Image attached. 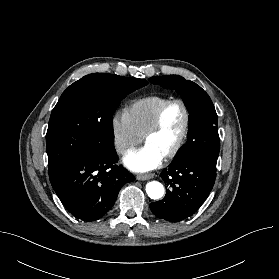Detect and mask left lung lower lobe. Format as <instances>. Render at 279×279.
<instances>
[{"label":"left lung lower lobe","mask_w":279,"mask_h":279,"mask_svg":"<svg viewBox=\"0 0 279 279\" xmlns=\"http://www.w3.org/2000/svg\"><path fill=\"white\" fill-rule=\"evenodd\" d=\"M169 189L165 197L150 204L153 214L179 222L194 214L208 197L216 178V167L193 158L173 161L160 174Z\"/></svg>","instance_id":"0a47b994"}]
</instances>
